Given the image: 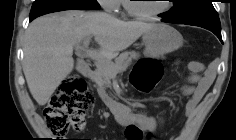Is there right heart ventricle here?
<instances>
[{
	"label": "right heart ventricle",
	"instance_id": "right-heart-ventricle-1",
	"mask_svg": "<svg viewBox=\"0 0 236 140\" xmlns=\"http://www.w3.org/2000/svg\"><path fill=\"white\" fill-rule=\"evenodd\" d=\"M120 2V4L122 3V4H125V1L124 0H122V1H119Z\"/></svg>",
	"mask_w": 236,
	"mask_h": 140
}]
</instances>
